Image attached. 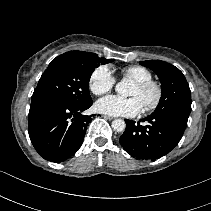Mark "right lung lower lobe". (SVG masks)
Returning <instances> with one entry per match:
<instances>
[{
  "mask_svg": "<svg viewBox=\"0 0 211 211\" xmlns=\"http://www.w3.org/2000/svg\"><path fill=\"white\" fill-rule=\"evenodd\" d=\"M92 103L75 107L54 101L31 102L29 137L41 157L60 163L76 153L94 116L81 113Z\"/></svg>",
  "mask_w": 211,
  "mask_h": 211,
  "instance_id": "98d812e1",
  "label": "right lung lower lobe"
}]
</instances>
